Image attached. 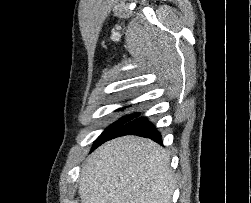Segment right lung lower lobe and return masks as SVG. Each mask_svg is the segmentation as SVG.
Here are the masks:
<instances>
[{
	"label": "right lung lower lobe",
	"instance_id": "98d812e1",
	"mask_svg": "<svg viewBox=\"0 0 251 203\" xmlns=\"http://www.w3.org/2000/svg\"><path fill=\"white\" fill-rule=\"evenodd\" d=\"M124 135H137L140 137H146L162 144L161 134L156 130L154 125L146 119V117L132 119L128 123L119 127L108 138V140Z\"/></svg>",
	"mask_w": 251,
	"mask_h": 203
}]
</instances>
